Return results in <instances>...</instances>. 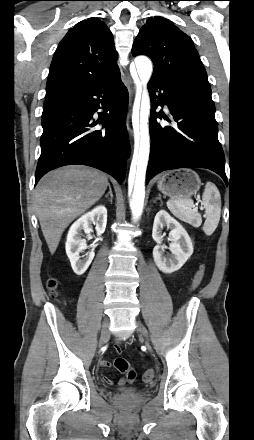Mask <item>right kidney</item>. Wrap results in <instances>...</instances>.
<instances>
[{"instance_id":"right-kidney-1","label":"right kidney","mask_w":254,"mask_h":440,"mask_svg":"<svg viewBox=\"0 0 254 440\" xmlns=\"http://www.w3.org/2000/svg\"><path fill=\"white\" fill-rule=\"evenodd\" d=\"M95 224L97 235L104 233L107 224V209L105 206H97L92 211L82 215L70 227L65 244L66 254L70 260L73 271L77 275H82L91 264L95 253L92 249L81 259L80 253L87 248L86 242L82 239V231L90 234L91 224Z\"/></svg>"}]
</instances>
